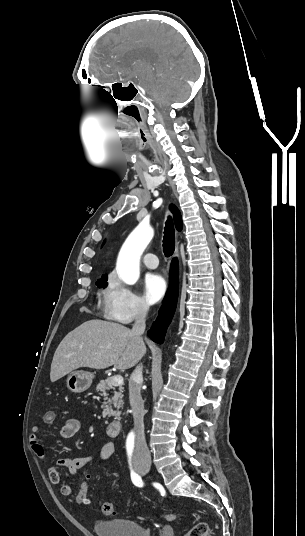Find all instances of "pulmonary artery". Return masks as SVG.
<instances>
[{
  "instance_id": "1",
  "label": "pulmonary artery",
  "mask_w": 305,
  "mask_h": 536,
  "mask_svg": "<svg viewBox=\"0 0 305 536\" xmlns=\"http://www.w3.org/2000/svg\"><path fill=\"white\" fill-rule=\"evenodd\" d=\"M156 256L151 253V252H147L143 255L142 257V262L144 263V265L149 268V269H155L158 267V263L157 261L155 260Z\"/></svg>"
}]
</instances>
